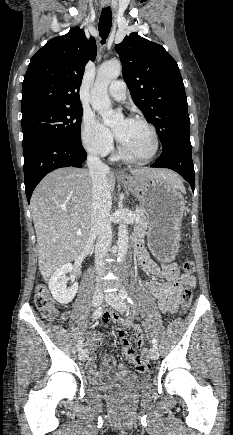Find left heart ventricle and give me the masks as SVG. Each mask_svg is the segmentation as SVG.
Returning a JSON list of instances; mask_svg holds the SVG:
<instances>
[{"label": "left heart ventricle", "mask_w": 233, "mask_h": 435, "mask_svg": "<svg viewBox=\"0 0 233 435\" xmlns=\"http://www.w3.org/2000/svg\"><path fill=\"white\" fill-rule=\"evenodd\" d=\"M125 152L135 158H144L153 148L149 129L139 122L119 119L112 126Z\"/></svg>", "instance_id": "b2bd125f"}]
</instances>
